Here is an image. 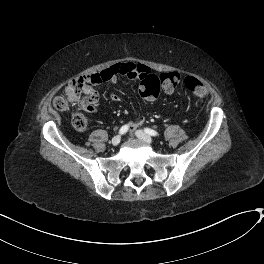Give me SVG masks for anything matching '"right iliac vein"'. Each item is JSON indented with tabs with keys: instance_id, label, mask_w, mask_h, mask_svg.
<instances>
[{
	"instance_id": "63e3f726",
	"label": "right iliac vein",
	"mask_w": 264,
	"mask_h": 264,
	"mask_svg": "<svg viewBox=\"0 0 264 264\" xmlns=\"http://www.w3.org/2000/svg\"><path fill=\"white\" fill-rule=\"evenodd\" d=\"M120 141H121V136L117 135L112 139L111 143L113 146H117L120 143Z\"/></svg>"
}]
</instances>
